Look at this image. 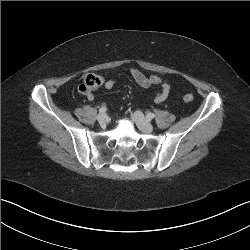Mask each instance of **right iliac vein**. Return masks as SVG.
I'll return each instance as SVG.
<instances>
[{
	"mask_svg": "<svg viewBox=\"0 0 250 250\" xmlns=\"http://www.w3.org/2000/svg\"><path fill=\"white\" fill-rule=\"evenodd\" d=\"M97 120L100 124H105L106 121H107V114L105 113H100L98 116H97Z\"/></svg>",
	"mask_w": 250,
	"mask_h": 250,
	"instance_id": "63e3f726",
	"label": "right iliac vein"
}]
</instances>
